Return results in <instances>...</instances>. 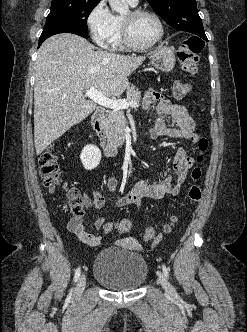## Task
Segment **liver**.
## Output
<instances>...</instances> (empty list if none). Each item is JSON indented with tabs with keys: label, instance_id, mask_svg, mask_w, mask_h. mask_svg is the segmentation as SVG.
<instances>
[{
	"label": "liver",
	"instance_id": "liver-1",
	"mask_svg": "<svg viewBox=\"0 0 247 332\" xmlns=\"http://www.w3.org/2000/svg\"><path fill=\"white\" fill-rule=\"evenodd\" d=\"M145 56H125L96 50L71 33L48 38L38 50L34 87V143L36 154L96 108L84 90L94 87L106 97H119L128 77Z\"/></svg>",
	"mask_w": 247,
	"mask_h": 332
}]
</instances>
